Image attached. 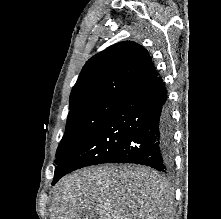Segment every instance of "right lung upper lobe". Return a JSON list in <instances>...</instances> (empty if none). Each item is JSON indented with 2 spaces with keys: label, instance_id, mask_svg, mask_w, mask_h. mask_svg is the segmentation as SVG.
I'll return each mask as SVG.
<instances>
[{
  "label": "right lung upper lobe",
  "instance_id": "1",
  "mask_svg": "<svg viewBox=\"0 0 221 219\" xmlns=\"http://www.w3.org/2000/svg\"><path fill=\"white\" fill-rule=\"evenodd\" d=\"M147 50L124 41L90 58L70 95V108L92 100L126 95L157 77Z\"/></svg>",
  "mask_w": 221,
  "mask_h": 219
}]
</instances>
